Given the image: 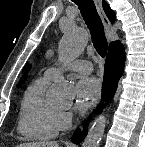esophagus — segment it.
<instances>
[{"instance_id":"obj_1","label":"esophagus","mask_w":145,"mask_h":147,"mask_svg":"<svg viewBox=\"0 0 145 147\" xmlns=\"http://www.w3.org/2000/svg\"><path fill=\"white\" fill-rule=\"evenodd\" d=\"M95 2V6L97 8L98 14L103 22V25L105 27V31L106 33H109L112 29V24L110 22V20L108 19V17L105 15L103 7H102V2L101 0H94Z\"/></svg>"}]
</instances>
